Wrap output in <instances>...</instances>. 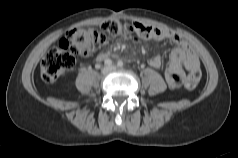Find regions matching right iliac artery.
Segmentation results:
<instances>
[{
	"mask_svg": "<svg viewBox=\"0 0 238 158\" xmlns=\"http://www.w3.org/2000/svg\"><path fill=\"white\" fill-rule=\"evenodd\" d=\"M105 65L111 66L112 65V61L110 59H106L105 60Z\"/></svg>",
	"mask_w": 238,
	"mask_h": 158,
	"instance_id": "right-iliac-artery-1",
	"label": "right iliac artery"
}]
</instances>
